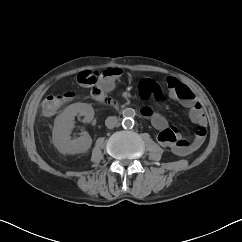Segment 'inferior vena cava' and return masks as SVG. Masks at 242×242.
I'll return each mask as SVG.
<instances>
[{"label":"inferior vena cava","mask_w":242,"mask_h":242,"mask_svg":"<svg viewBox=\"0 0 242 242\" xmlns=\"http://www.w3.org/2000/svg\"><path fill=\"white\" fill-rule=\"evenodd\" d=\"M118 123V119L116 116H109L107 117V119L105 120V125L107 128L112 129L114 128Z\"/></svg>","instance_id":"602c4592"}]
</instances>
